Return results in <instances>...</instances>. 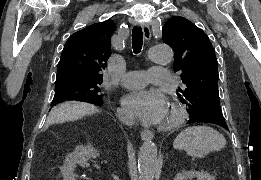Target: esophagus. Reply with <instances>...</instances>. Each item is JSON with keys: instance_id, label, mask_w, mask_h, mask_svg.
I'll return each instance as SVG.
<instances>
[{"instance_id": "1", "label": "esophagus", "mask_w": 261, "mask_h": 180, "mask_svg": "<svg viewBox=\"0 0 261 180\" xmlns=\"http://www.w3.org/2000/svg\"><path fill=\"white\" fill-rule=\"evenodd\" d=\"M143 34L147 41L151 39V31L149 26L145 23L143 24ZM154 138L153 132L150 130H142L141 132V139L142 140H152Z\"/></svg>"}]
</instances>
